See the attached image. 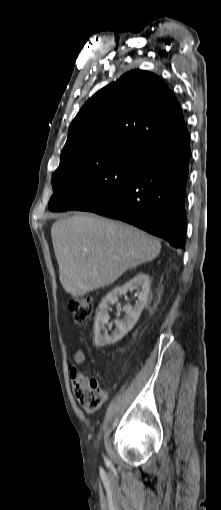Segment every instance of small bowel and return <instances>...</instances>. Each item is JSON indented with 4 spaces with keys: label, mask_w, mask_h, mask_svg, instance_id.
Instances as JSON below:
<instances>
[{
    "label": "small bowel",
    "mask_w": 221,
    "mask_h": 510,
    "mask_svg": "<svg viewBox=\"0 0 221 510\" xmlns=\"http://www.w3.org/2000/svg\"><path fill=\"white\" fill-rule=\"evenodd\" d=\"M74 364L70 365L69 367V373L72 381L73 391L77 399L79 400L80 394H81V385L78 379L79 375V368L78 366H81L85 362V354L81 349L76 350L74 353ZM87 410V409H86ZM92 411V410H88Z\"/></svg>",
    "instance_id": "obj_1"
}]
</instances>
